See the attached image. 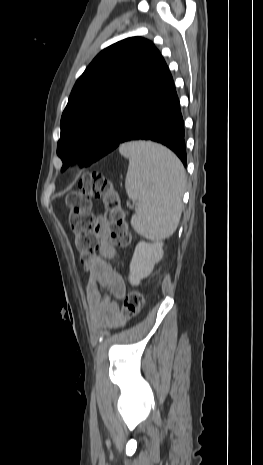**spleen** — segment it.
<instances>
[{
	"label": "spleen",
	"mask_w": 263,
	"mask_h": 465,
	"mask_svg": "<svg viewBox=\"0 0 263 465\" xmlns=\"http://www.w3.org/2000/svg\"><path fill=\"white\" fill-rule=\"evenodd\" d=\"M129 159L125 187L128 197L138 200L131 225L153 241L171 236L182 212L185 170L168 149L149 142H130L119 147Z\"/></svg>",
	"instance_id": "spleen-1"
}]
</instances>
